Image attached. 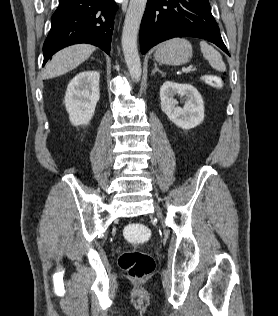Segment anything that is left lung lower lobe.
Returning a JSON list of instances; mask_svg holds the SVG:
<instances>
[{
	"mask_svg": "<svg viewBox=\"0 0 278 316\" xmlns=\"http://www.w3.org/2000/svg\"><path fill=\"white\" fill-rule=\"evenodd\" d=\"M208 40L229 56L208 0H148L140 27L142 54L174 37Z\"/></svg>",
	"mask_w": 278,
	"mask_h": 316,
	"instance_id": "obj_1",
	"label": "left lung lower lobe"
}]
</instances>
